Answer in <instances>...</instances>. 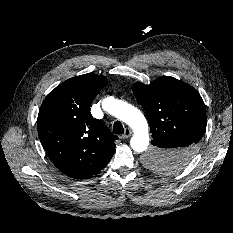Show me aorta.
I'll use <instances>...</instances> for the list:
<instances>
[{"instance_id":"762f6f07","label":"aorta","mask_w":233,"mask_h":233,"mask_svg":"<svg viewBox=\"0 0 233 233\" xmlns=\"http://www.w3.org/2000/svg\"><path fill=\"white\" fill-rule=\"evenodd\" d=\"M102 107L133 129L131 148L138 153L144 152L149 145V133L148 123L142 112L126 102L113 98L104 99Z\"/></svg>"}]
</instances>
